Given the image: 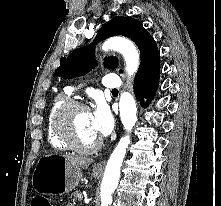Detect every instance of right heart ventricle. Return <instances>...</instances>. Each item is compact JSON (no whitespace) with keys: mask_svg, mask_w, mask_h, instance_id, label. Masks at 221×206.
<instances>
[{"mask_svg":"<svg viewBox=\"0 0 221 206\" xmlns=\"http://www.w3.org/2000/svg\"><path fill=\"white\" fill-rule=\"evenodd\" d=\"M71 98L68 94H63L56 97L51 104L46 121V132H47V139L49 144L57 150H68L69 147L58 137L55 126H54V117L56 114L57 109L64 103L70 101Z\"/></svg>","mask_w":221,"mask_h":206,"instance_id":"e07e8e85","label":"right heart ventricle"}]
</instances>
